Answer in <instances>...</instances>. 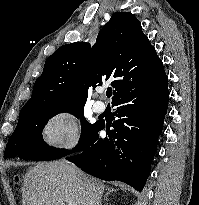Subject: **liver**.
Listing matches in <instances>:
<instances>
[{"mask_svg": "<svg viewBox=\"0 0 199 205\" xmlns=\"http://www.w3.org/2000/svg\"><path fill=\"white\" fill-rule=\"evenodd\" d=\"M105 185L64 161L30 168L22 185L23 205H101Z\"/></svg>", "mask_w": 199, "mask_h": 205, "instance_id": "1", "label": "liver"}]
</instances>
